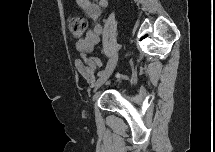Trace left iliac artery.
Returning <instances> with one entry per match:
<instances>
[{
	"label": "left iliac artery",
	"mask_w": 215,
	"mask_h": 152,
	"mask_svg": "<svg viewBox=\"0 0 215 152\" xmlns=\"http://www.w3.org/2000/svg\"><path fill=\"white\" fill-rule=\"evenodd\" d=\"M108 65V64H107ZM103 75V72L102 71H99L98 72V76H102Z\"/></svg>",
	"instance_id": "obj_1"
}]
</instances>
